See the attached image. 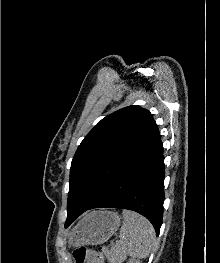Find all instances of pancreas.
Instances as JSON below:
<instances>
[{"label":"pancreas","mask_w":220,"mask_h":263,"mask_svg":"<svg viewBox=\"0 0 220 263\" xmlns=\"http://www.w3.org/2000/svg\"><path fill=\"white\" fill-rule=\"evenodd\" d=\"M102 251L111 263H115L116 260L123 258L122 256H119V252L114 247L111 250L103 248Z\"/></svg>","instance_id":"cf45deb5"}]
</instances>
